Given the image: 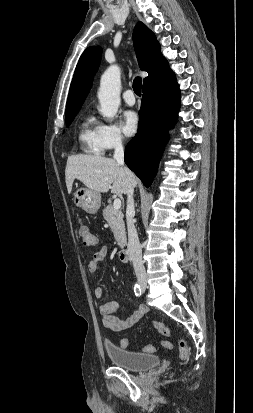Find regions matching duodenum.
I'll use <instances>...</instances> for the list:
<instances>
[{
  "instance_id": "410a0bca",
  "label": "duodenum",
  "mask_w": 253,
  "mask_h": 413,
  "mask_svg": "<svg viewBox=\"0 0 253 413\" xmlns=\"http://www.w3.org/2000/svg\"><path fill=\"white\" fill-rule=\"evenodd\" d=\"M119 260L121 261V262H123V263H126V262H128L129 261V259H130V252H129V250L126 248V247H124V248H122L120 251H119Z\"/></svg>"
}]
</instances>
